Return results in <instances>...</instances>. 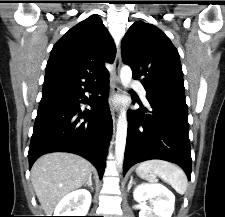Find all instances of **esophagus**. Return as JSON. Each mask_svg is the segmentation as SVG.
Wrapping results in <instances>:
<instances>
[{
	"label": "esophagus",
	"mask_w": 225,
	"mask_h": 217,
	"mask_svg": "<svg viewBox=\"0 0 225 217\" xmlns=\"http://www.w3.org/2000/svg\"><path fill=\"white\" fill-rule=\"evenodd\" d=\"M120 65H121V53L118 49L116 58L114 61V68H113V75L111 80V101H110V111L112 115V119L114 122L117 121L120 105L114 102L113 98L115 96L119 95L121 89H120Z\"/></svg>",
	"instance_id": "obj_1"
}]
</instances>
